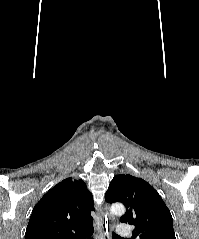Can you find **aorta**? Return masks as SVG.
<instances>
[{
	"instance_id": "aorta-1",
	"label": "aorta",
	"mask_w": 199,
	"mask_h": 239,
	"mask_svg": "<svg viewBox=\"0 0 199 239\" xmlns=\"http://www.w3.org/2000/svg\"><path fill=\"white\" fill-rule=\"evenodd\" d=\"M110 212L114 216H120L125 213V207L120 203H115L111 206Z\"/></svg>"
}]
</instances>
